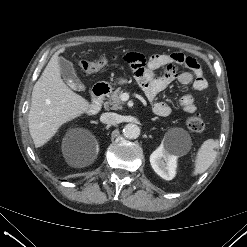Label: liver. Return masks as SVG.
<instances>
[{"instance_id": "obj_1", "label": "liver", "mask_w": 247, "mask_h": 247, "mask_svg": "<svg viewBox=\"0 0 247 247\" xmlns=\"http://www.w3.org/2000/svg\"><path fill=\"white\" fill-rule=\"evenodd\" d=\"M61 48L51 57L32 91L28 115L30 135L36 147L47 143L59 128L89 110L91 104L81 95L73 92L62 80L58 56ZM83 167L86 163H73Z\"/></svg>"}]
</instances>
